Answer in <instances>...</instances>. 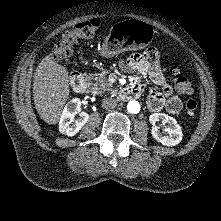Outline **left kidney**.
I'll return each mask as SVG.
<instances>
[{"mask_svg":"<svg viewBox=\"0 0 221 221\" xmlns=\"http://www.w3.org/2000/svg\"><path fill=\"white\" fill-rule=\"evenodd\" d=\"M150 123L152 124V136L153 138L166 146H175L179 144L182 140V130L177 121L164 113H154L149 117ZM157 121H162L168 124L166 128V133H162L159 127L155 125Z\"/></svg>","mask_w":221,"mask_h":221,"instance_id":"obj_1","label":"left kidney"}]
</instances>
